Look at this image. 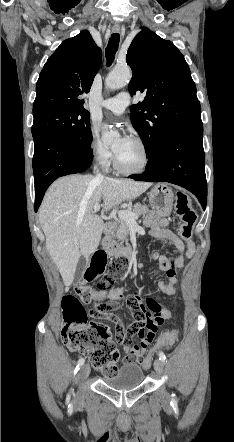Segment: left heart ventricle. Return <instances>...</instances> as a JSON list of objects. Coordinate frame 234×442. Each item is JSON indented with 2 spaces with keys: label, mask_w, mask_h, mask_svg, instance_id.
Wrapping results in <instances>:
<instances>
[{
  "label": "left heart ventricle",
  "mask_w": 234,
  "mask_h": 442,
  "mask_svg": "<svg viewBox=\"0 0 234 442\" xmlns=\"http://www.w3.org/2000/svg\"><path fill=\"white\" fill-rule=\"evenodd\" d=\"M120 165L127 170H134L141 166L143 153L141 148L133 141L129 140L125 144L122 140L115 142L113 146Z\"/></svg>",
  "instance_id": "obj_1"
}]
</instances>
